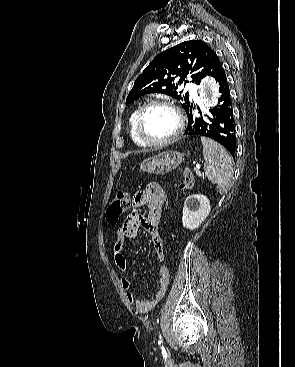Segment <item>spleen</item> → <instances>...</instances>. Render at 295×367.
Returning a JSON list of instances; mask_svg holds the SVG:
<instances>
[{"instance_id":"spleen-1","label":"spleen","mask_w":295,"mask_h":367,"mask_svg":"<svg viewBox=\"0 0 295 367\" xmlns=\"http://www.w3.org/2000/svg\"><path fill=\"white\" fill-rule=\"evenodd\" d=\"M203 145L204 171L208 180L217 184V191L227 192L233 177L232 158L228 152L209 138L201 137Z\"/></svg>"}]
</instances>
